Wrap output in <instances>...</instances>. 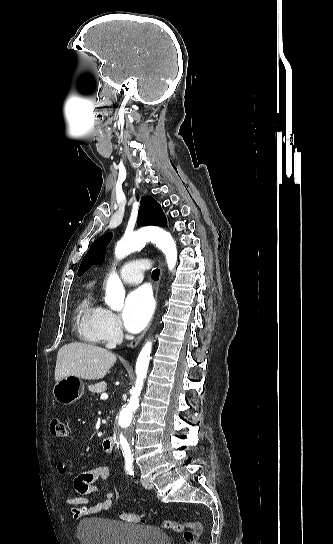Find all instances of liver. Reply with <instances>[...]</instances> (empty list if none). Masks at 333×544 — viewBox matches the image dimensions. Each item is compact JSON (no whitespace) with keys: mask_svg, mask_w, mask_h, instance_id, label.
Returning <instances> with one entry per match:
<instances>
[{"mask_svg":"<svg viewBox=\"0 0 333 544\" xmlns=\"http://www.w3.org/2000/svg\"><path fill=\"white\" fill-rule=\"evenodd\" d=\"M116 359L107 349L81 342L68 343L58 351L55 381L70 375L86 380L102 379Z\"/></svg>","mask_w":333,"mask_h":544,"instance_id":"liver-1","label":"liver"}]
</instances>
